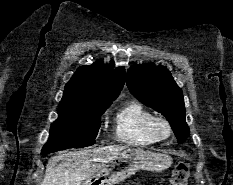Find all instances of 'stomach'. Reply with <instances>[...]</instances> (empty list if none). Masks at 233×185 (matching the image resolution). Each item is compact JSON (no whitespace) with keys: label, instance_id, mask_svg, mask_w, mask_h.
Returning <instances> with one entry per match:
<instances>
[{"label":"stomach","instance_id":"obj_1","mask_svg":"<svg viewBox=\"0 0 233 185\" xmlns=\"http://www.w3.org/2000/svg\"><path fill=\"white\" fill-rule=\"evenodd\" d=\"M171 164L172 158L167 154L128 148L117 154L98 173L81 185H116L140 169L162 172Z\"/></svg>","mask_w":233,"mask_h":185}]
</instances>
